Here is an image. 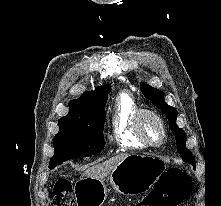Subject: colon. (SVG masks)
I'll return each instance as SVG.
<instances>
[{
  "mask_svg": "<svg viewBox=\"0 0 221 206\" xmlns=\"http://www.w3.org/2000/svg\"><path fill=\"white\" fill-rule=\"evenodd\" d=\"M191 178L179 169L165 172L159 182L137 206H178L192 191ZM51 206H75L73 188L70 181H56L50 191Z\"/></svg>",
  "mask_w": 221,
  "mask_h": 206,
  "instance_id": "5ec220e1",
  "label": "colon"
}]
</instances>
